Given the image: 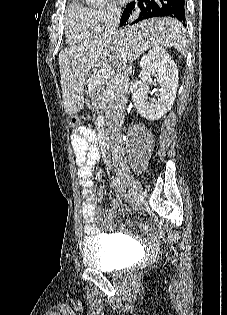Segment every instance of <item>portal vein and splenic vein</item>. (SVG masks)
<instances>
[{
	"instance_id": "18ae733b",
	"label": "portal vein and splenic vein",
	"mask_w": 227,
	"mask_h": 315,
	"mask_svg": "<svg viewBox=\"0 0 227 315\" xmlns=\"http://www.w3.org/2000/svg\"><path fill=\"white\" fill-rule=\"evenodd\" d=\"M104 79H105V77L102 78L101 76L95 77L94 80H93V84L100 86L101 84L104 83ZM118 81H119V77H115V79H114L115 86L108 87L107 90L104 93L107 94L108 96L109 95H113L114 89H115L116 84L118 83Z\"/></svg>"
}]
</instances>
